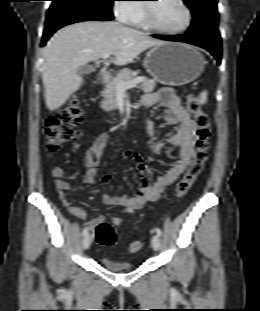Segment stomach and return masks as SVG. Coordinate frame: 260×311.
Wrapping results in <instances>:
<instances>
[{
	"instance_id": "0dacf381",
	"label": "stomach",
	"mask_w": 260,
	"mask_h": 311,
	"mask_svg": "<svg viewBox=\"0 0 260 311\" xmlns=\"http://www.w3.org/2000/svg\"><path fill=\"white\" fill-rule=\"evenodd\" d=\"M204 57L194 47L167 42L150 49L144 66L164 85L181 86L197 79L204 71Z\"/></svg>"
}]
</instances>
